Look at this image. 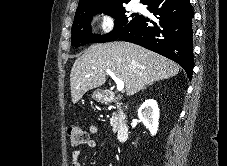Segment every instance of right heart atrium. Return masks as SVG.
Returning <instances> with one entry per match:
<instances>
[{"label":"right heart atrium","mask_w":227,"mask_h":166,"mask_svg":"<svg viewBox=\"0 0 227 166\" xmlns=\"http://www.w3.org/2000/svg\"><path fill=\"white\" fill-rule=\"evenodd\" d=\"M97 27L101 34H111L116 26L114 17L108 13H101L97 16Z\"/></svg>","instance_id":"right-heart-atrium-1"}]
</instances>
